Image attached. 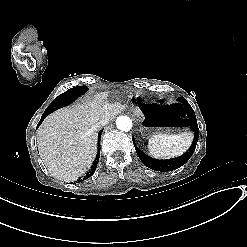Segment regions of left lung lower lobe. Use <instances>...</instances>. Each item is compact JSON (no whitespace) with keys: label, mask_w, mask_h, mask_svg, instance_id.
Wrapping results in <instances>:
<instances>
[{"label":"left lung lower lobe","mask_w":247,"mask_h":247,"mask_svg":"<svg viewBox=\"0 0 247 247\" xmlns=\"http://www.w3.org/2000/svg\"><path fill=\"white\" fill-rule=\"evenodd\" d=\"M182 104L184 106V111L187 112L188 117H189V119H187V120L190 122L191 128L195 134V140H194L193 146L190 148V150L186 154H184L180 158L171 159V160H157V159H153V158L145 155L135 145L137 155L146 167H148L152 170L162 171V172L172 171V170H175V169L181 167L182 165H184L189 160V158L192 156V154L194 153L195 148H196V144L198 141V137H199V129H198V125H197V120H196L195 113H194L192 107L190 106V104L187 101L182 102ZM180 110L182 111V108H180Z\"/></svg>","instance_id":"1"}]
</instances>
